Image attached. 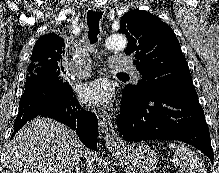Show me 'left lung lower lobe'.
<instances>
[{
  "instance_id": "1",
  "label": "left lung lower lobe",
  "mask_w": 219,
  "mask_h": 173,
  "mask_svg": "<svg viewBox=\"0 0 219 173\" xmlns=\"http://www.w3.org/2000/svg\"><path fill=\"white\" fill-rule=\"evenodd\" d=\"M117 126L126 141L179 140L201 150L213 163L210 133L195 90L144 99L123 90Z\"/></svg>"
}]
</instances>
